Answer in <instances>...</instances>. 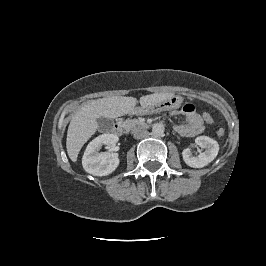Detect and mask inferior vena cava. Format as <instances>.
Segmentation results:
<instances>
[{
    "label": "inferior vena cava",
    "instance_id": "obj_1",
    "mask_svg": "<svg viewBox=\"0 0 266 266\" xmlns=\"http://www.w3.org/2000/svg\"><path fill=\"white\" fill-rule=\"evenodd\" d=\"M147 134H148L147 130L142 129V128L135 129L134 132H133V136H134L135 139L143 138Z\"/></svg>",
    "mask_w": 266,
    "mask_h": 266
}]
</instances>
